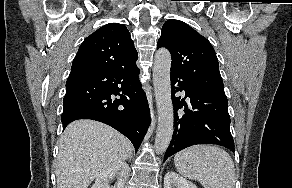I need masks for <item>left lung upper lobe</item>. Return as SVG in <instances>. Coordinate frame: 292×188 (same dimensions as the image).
Returning <instances> with one entry per match:
<instances>
[{"instance_id":"5c2ea615","label":"left lung upper lobe","mask_w":292,"mask_h":188,"mask_svg":"<svg viewBox=\"0 0 292 188\" xmlns=\"http://www.w3.org/2000/svg\"><path fill=\"white\" fill-rule=\"evenodd\" d=\"M171 53V73L202 87L224 92L218 59L210 42L180 20H168L162 27L157 48Z\"/></svg>"}]
</instances>
